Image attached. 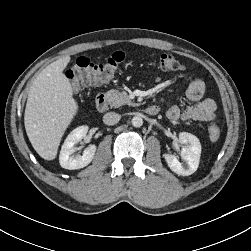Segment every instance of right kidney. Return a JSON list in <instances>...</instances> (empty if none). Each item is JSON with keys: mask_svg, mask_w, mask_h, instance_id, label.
Instances as JSON below:
<instances>
[{"mask_svg": "<svg viewBox=\"0 0 251 251\" xmlns=\"http://www.w3.org/2000/svg\"><path fill=\"white\" fill-rule=\"evenodd\" d=\"M88 132V126H79L74 129L62 145L59 162L62 168L75 170L87 166L94 158L96 146L90 145L82 156L73 153L76 151L74 145L81 141Z\"/></svg>", "mask_w": 251, "mask_h": 251, "instance_id": "obj_1", "label": "right kidney"}]
</instances>
